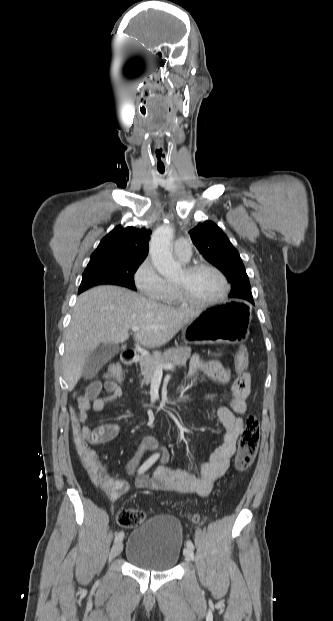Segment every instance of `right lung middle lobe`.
I'll return each mask as SVG.
<instances>
[{"instance_id": "1", "label": "right lung middle lobe", "mask_w": 333, "mask_h": 621, "mask_svg": "<svg viewBox=\"0 0 333 621\" xmlns=\"http://www.w3.org/2000/svg\"><path fill=\"white\" fill-rule=\"evenodd\" d=\"M143 261L104 260L89 262L82 277L79 293L100 284H113L136 290L133 278Z\"/></svg>"}]
</instances>
